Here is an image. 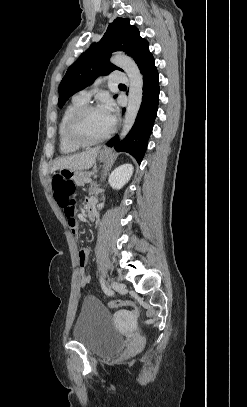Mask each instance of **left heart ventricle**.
I'll return each mask as SVG.
<instances>
[{"mask_svg":"<svg viewBox=\"0 0 247 407\" xmlns=\"http://www.w3.org/2000/svg\"><path fill=\"white\" fill-rule=\"evenodd\" d=\"M112 125L108 122L101 109L91 110L80 121L79 130L86 139H97L105 135Z\"/></svg>","mask_w":247,"mask_h":407,"instance_id":"b2bd125f","label":"left heart ventricle"}]
</instances>
